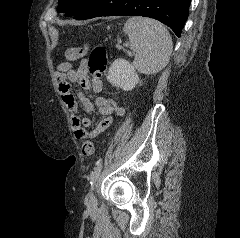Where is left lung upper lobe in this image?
Returning a JSON list of instances; mask_svg holds the SVG:
<instances>
[{"label": "left lung upper lobe", "instance_id": "1", "mask_svg": "<svg viewBox=\"0 0 240 238\" xmlns=\"http://www.w3.org/2000/svg\"><path fill=\"white\" fill-rule=\"evenodd\" d=\"M91 0H59L58 9L66 16H77L89 4Z\"/></svg>", "mask_w": 240, "mask_h": 238}]
</instances>
